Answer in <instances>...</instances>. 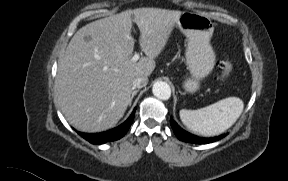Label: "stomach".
<instances>
[{
	"instance_id": "1",
	"label": "stomach",
	"mask_w": 288,
	"mask_h": 181,
	"mask_svg": "<svg viewBox=\"0 0 288 181\" xmlns=\"http://www.w3.org/2000/svg\"><path fill=\"white\" fill-rule=\"evenodd\" d=\"M177 26L187 37L185 58L191 74L183 87L187 92L195 93L200 88V80L208 76L215 65L216 55L210 44L214 23L203 14L182 12Z\"/></svg>"
}]
</instances>
